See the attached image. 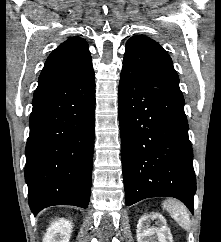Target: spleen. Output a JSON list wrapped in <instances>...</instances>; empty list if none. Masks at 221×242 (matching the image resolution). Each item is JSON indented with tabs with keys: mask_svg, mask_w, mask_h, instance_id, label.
<instances>
[{
	"mask_svg": "<svg viewBox=\"0 0 221 242\" xmlns=\"http://www.w3.org/2000/svg\"><path fill=\"white\" fill-rule=\"evenodd\" d=\"M162 207L170 213L180 227L186 231L190 230L189 213L183 203L175 199H168L163 202Z\"/></svg>",
	"mask_w": 221,
	"mask_h": 242,
	"instance_id": "obj_1",
	"label": "spleen"
}]
</instances>
